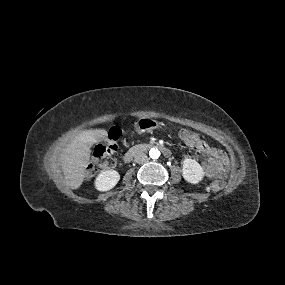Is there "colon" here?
I'll return each instance as SVG.
<instances>
[{"mask_svg":"<svg viewBox=\"0 0 285 285\" xmlns=\"http://www.w3.org/2000/svg\"><path fill=\"white\" fill-rule=\"evenodd\" d=\"M180 137L189 146H195L199 142V137L193 131L187 129L181 131ZM118 138V132L112 131L106 142L100 143L95 147L87 167L86 177L90 178L97 172L111 168L114 165L113 151ZM224 185L225 183L222 179H215L210 183V189L215 192L220 191Z\"/></svg>","mask_w":285,"mask_h":285,"instance_id":"5ec220e1","label":"colon"}]
</instances>
